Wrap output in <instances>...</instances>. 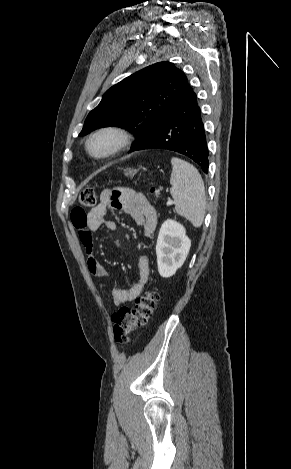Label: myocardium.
Listing matches in <instances>:
<instances>
[{
	"instance_id": "obj_1",
	"label": "myocardium",
	"mask_w": 291,
	"mask_h": 469,
	"mask_svg": "<svg viewBox=\"0 0 291 469\" xmlns=\"http://www.w3.org/2000/svg\"><path fill=\"white\" fill-rule=\"evenodd\" d=\"M101 135H110L114 139V143L107 152L103 154H95L91 151L90 144L92 140ZM130 142L131 136L125 128L117 125H105L95 129L88 135L84 147L89 157L96 160H105L123 151Z\"/></svg>"
}]
</instances>
